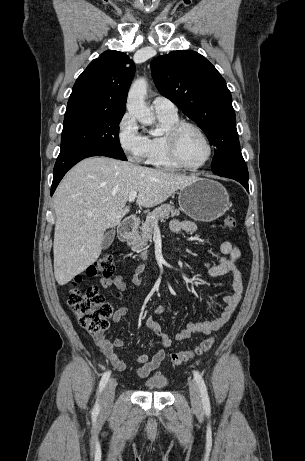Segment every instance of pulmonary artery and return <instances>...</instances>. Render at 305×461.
Listing matches in <instances>:
<instances>
[{
	"label": "pulmonary artery",
	"mask_w": 305,
	"mask_h": 461,
	"mask_svg": "<svg viewBox=\"0 0 305 461\" xmlns=\"http://www.w3.org/2000/svg\"><path fill=\"white\" fill-rule=\"evenodd\" d=\"M152 106L156 113L177 114L175 104L166 97L156 96L152 101Z\"/></svg>",
	"instance_id": "1"
}]
</instances>
